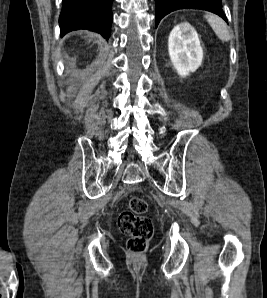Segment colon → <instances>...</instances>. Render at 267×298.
<instances>
[{
  "mask_svg": "<svg viewBox=\"0 0 267 298\" xmlns=\"http://www.w3.org/2000/svg\"><path fill=\"white\" fill-rule=\"evenodd\" d=\"M147 210L148 204L143 198L132 197L117 218L120 231L128 237L127 249L134 255L147 250L154 233L153 222L145 215Z\"/></svg>",
  "mask_w": 267,
  "mask_h": 298,
  "instance_id": "colon-1",
  "label": "colon"
}]
</instances>
